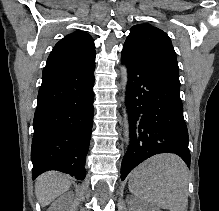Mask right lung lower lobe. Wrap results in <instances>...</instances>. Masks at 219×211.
<instances>
[{
    "instance_id": "obj_1",
    "label": "right lung lower lobe",
    "mask_w": 219,
    "mask_h": 211,
    "mask_svg": "<svg viewBox=\"0 0 219 211\" xmlns=\"http://www.w3.org/2000/svg\"><path fill=\"white\" fill-rule=\"evenodd\" d=\"M95 60L46 65L34 115L33 179L58 170L83 180L94 115Z\"/></svg>"
}]
</instances>
